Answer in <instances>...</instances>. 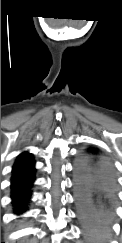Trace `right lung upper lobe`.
<instances>
[{
	"label": "right lung upper lobe",
	"instance_id": "obj_1",
	"mask_svg": "<svg viewBox=\"0 0 122 243\" xmlns=\"http://www.w3.org/2000/svg\"><path fill=\"white\" fill-rule=\"evenodd\" d=\"M34 164V161L32 159L31 154L28 153H23L21 155L18 156L14 166H13V171L12 172H16L20 169L32 166Z\"/></svg>",
	"mask_w": 122,
	"mask_h": 243
}]
</instances>
